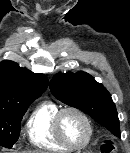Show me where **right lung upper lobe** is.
<instances>
[{"label": "right lung upper lobe", "mask_w": 130, "mask_h": 153, "mask_svg": "<svg viewBox=\"0 0 130 153\" xmlns=\"http://www.w3.org/2000/svg\"><path fill=\"white\" fill-rule=\"evenodd\" d=\"M48 87L43 74L21 68L16 62H0V106L18 107L38 98Z\"/></svg>", "instance_id": "right-lung-upper-lobe-1"}]
</instances>
